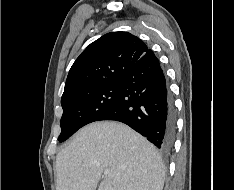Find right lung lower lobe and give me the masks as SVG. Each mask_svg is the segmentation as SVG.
<instances>
[{"label":"right lung lower lobe","instance_id":"1","mask_svg":"<svg viewBox=\"0 0 234 190\" xmlns=\"http://www.w3.org/2000/svg\"><path fill=\"white\" fill-rule=\"evenodd\" d=\"M119 96L97 121H120L163 151L171 149L176 129L173 101L155 54L148 50L120 79Z\"/></svg>","mask_w":234,"mask_h":190}]
</instances>
